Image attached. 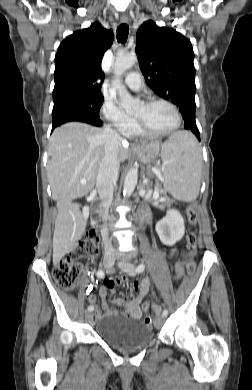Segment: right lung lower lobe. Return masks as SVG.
<instances>
[{
	"label": "right lung lower lobe",
	"mask_w": 252,
	"mask_h": 390,
	"mask_svg": "<svg viewBox=\"0 0 252 390\" xmlns=\"http://www.w3.org/2000/svg\"><path fill=\"white\" fill-rule=\"evenodd\" d=\"M70 121L85 122V123H89V124H92V125L98 126V127L102 126V122L98 123V122H94V121H91V120L86 119V118L67 116V117H62V118H58L56 120H53L52 131L55 127L60 126L61 124L66 123V122H70Z\"/></svg>",
	"instance_id": "right-lung-lower-lobe-1"
}]
</instances>
